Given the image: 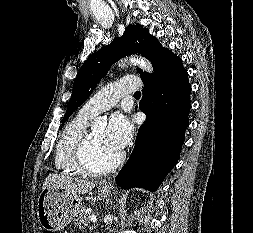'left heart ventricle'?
<instances>
[{
  "instance_id": "1",
  "label": "left heart ventricle",
  "mask_w": 253,
  "mask_h": 233,
  "mask_svg": "<svg viewBox=\"0 0 253 233\" xmlns=\"http://www.w3.org/2000/svg\"><path fill=\"white\" fill-rule=\"evenodd\" d=\"M92 145L89 151V160L94 166H103L111 162L120 153L112 149L105 142V129L99 128L91 131Z\"/></svg>"
}]
</instances>
